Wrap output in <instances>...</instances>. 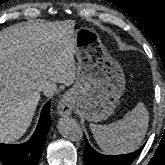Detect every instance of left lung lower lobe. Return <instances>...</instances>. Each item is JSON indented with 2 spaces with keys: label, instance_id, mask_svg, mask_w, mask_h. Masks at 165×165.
Here are the masks:
<instances>
[{
  "label": "left lung lower lobe",
  "instance_id": "left-lung-lower-lobe-1",
  "mask_svg": "<svg viewBox=\"0 0 165 165\" xmlns=\"http://www.w3.org/2000/svg\"><path fill=\"white\" fill-rule=\"evenodd\" d=\"M141 150L142 147L130 154L103 155L95 151L92 146L86 142L83 158L86 165H130Z\"/></svg>",
  "mask_w": 165,
  "mask_h": 165
}]
</instances>
